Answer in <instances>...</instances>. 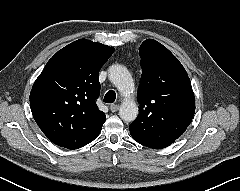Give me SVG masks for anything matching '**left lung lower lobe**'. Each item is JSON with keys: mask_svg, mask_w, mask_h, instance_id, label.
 Returning a JSON list of instances; mask_svg holds the SVG:
<instances>
[{"mask_svg": "<svg viewBox=\"0 0 240 191\" xmlns=\"http://www.w3.org/2000/svg\"><path fill=\"white\" fill-rule=\"evenodd\" d=\"M130 133H131V131H130ZM131 136H132V138H133L135 141H137L138 143H140V144H142V145H144V146L151 147V148H155V147L159 146V144H157V145H149V144L145 143L144 141H141V140L137 139V138L135 137V135L132 134V133H131Z\"/></svg>", "mask_w": 240, "mask_h": 191, "instance_id": "left-lung-lower-lobe-1", "label": "left lung lower lobe"}]
</instances>
